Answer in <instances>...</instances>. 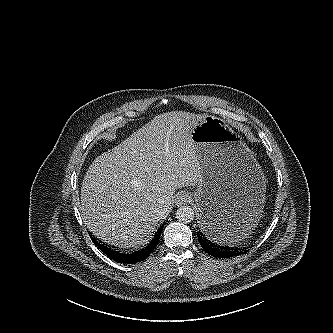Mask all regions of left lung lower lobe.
<instances>
[{
	"label": "left lung lower lobe",
	"instance_id": "obj_1",
	"mask_svg": "<svg viewBox=\"0 0 333 333\" xmlns=\"http://www.w3.org/2000/svg\"><path fill=\"white\" fill-rule=\"evenodd\" d=\"M237 227L232 222L227 221L224 215L219 213L212 216L206 222L205 228L202 232H197V237L202 248L213 257L217 258H230L241 255L245 252H240L238 249L228 246H219L215 242H221L225 235L235 230Z\"/></svg>",
	"mask_w": 333,
	"mask_h": 333
}]
</instances>
